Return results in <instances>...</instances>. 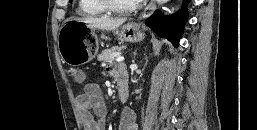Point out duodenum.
I'll return each mask as SVG.
<instances>
[{
    "label": "duodenum",
    "mask_w": 257,
    "mask_h": 130,
    "mask_svg": "<svg viewBox=\"0 0 257 130\" xmlns=\"http://www.w3.org/2000/svg\"><path fill=\"white\" fill-rule=\"evenodd\" d=\"M117 90L120 101L123 103L126 102L129 97V87L127 81L124 79H119L117 81Z\"/></svg>",
    "instance_id": "1"
}]
</instances>
